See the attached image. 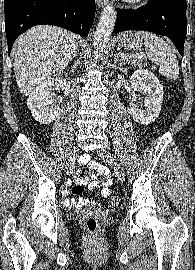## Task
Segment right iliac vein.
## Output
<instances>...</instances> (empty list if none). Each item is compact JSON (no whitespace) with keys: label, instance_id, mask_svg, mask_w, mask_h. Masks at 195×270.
Returning <instances> with one entry per match:
<instances>
[{"label":"right iliac vein","instance_id":"obj_1","mask_svg":"<svg viewBox=\"0 0 195 270\" xmlns=\"http://www.w3.org/2000/svg\"><path fill=\"white\" fill-rule=\"evenodd\" d=\"M77 156H78V148L75 147L73 152L71 153V155L69 157V162H68V166H67V170H66L67 174L71 173V169L75 168Z\"/></svg>","mask_w":195,"mask_h":270}]
</instances>
